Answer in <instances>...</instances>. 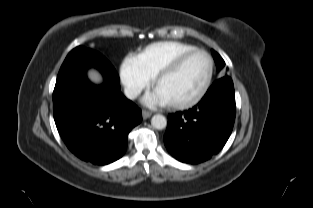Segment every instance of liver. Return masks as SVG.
Wrapping results in <instances>:
<instances>
[{"mask_svg": "<svg viewBox=\"0 0 313 208\" xmlns=\"http://www.w3.org/2000/svg\"><path fill=\"white\" fill-rule=\"evenodd\" d=\"M87 75L89 79L94 83H100L102 81L101 74L95 69H89Z\"/></svg>", "mask_w": 313, "mask_h": 208, "instance_id": "obj_1", "label": "liver"}]
</instances>
